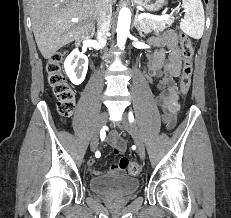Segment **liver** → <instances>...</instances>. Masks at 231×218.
Listing matches in <instances>:
<instances>
[{
  "label": "liver",
  "mask_w": 231,
  "mask_h": 218,
  "mask_svg": "<svg viewBox=\"0 0 231 218\" xmlns=\"http://www.w3.org/2000/svg\"><path fill=\"white\" fill-rule=\"evenodd\" d=\"M95 1L29 0L34 37L45 59L51 58L63 46L84 39L94 31ZM72 18H78L79 21L74 23Z\"/></svg>",
  "instance_id": "obj_1"
}]
</instances>
